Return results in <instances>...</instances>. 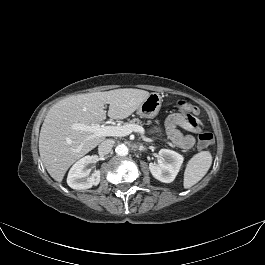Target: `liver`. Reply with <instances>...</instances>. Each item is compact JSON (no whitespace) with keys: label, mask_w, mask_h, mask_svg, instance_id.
<instances>
[{"label":"liver","mask_w":265,"mask_h":265,"mask_svg":"<svg viewBox=\"0 0 265 265\" xmlns=\"http://www.w3.org/2000/svg\"><path fill=\"white\" fill-rule=\"evenodd\" d=\"M149 95L148 91L125 88L70 96L54 104L45 117L39 137L40 157L50 176L61 182L75 161L105 139L87 131L74 130L73 123L102 122L106 119V104H109L111 119H125Z\"/></svg>","instance_id":"liver-1"}]
</instances>
